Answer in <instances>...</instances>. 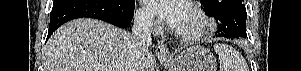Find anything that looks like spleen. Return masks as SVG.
<instances>
[{
  "label": "spleen",
  "mask_w": 301,
  "mask_h": 71,
  "mask_svg": "<svg viewBox=\"0 0 301 71\" xmlns=\"http://www.w3.org/2000/svg\"><path fill=\"white\" fill-rule=\"evenodd\" d=\"M214 50L219 56V71H249L243 56L232 46L216 43Z\"/></svg>",
  "instance_id": "1"
}]
</instances>
